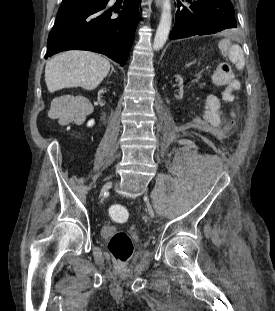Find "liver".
<instances>
[{"instance_id": "obj_1", "label": "liver", "mask_w": 275, "mask_h": 311, "mask_svg": "<svg viewBox=\"0 0 275 311\" xmlns=\"http://www.w3.org/2000/svg\"><path fill=\"white\" fill-rule=\"evenodd\" d=\"M109 70V61L101 55L88 51H67L46 63L45 82L51 93L71 87L93 90Z\"/></svg>"}]
</instances>
